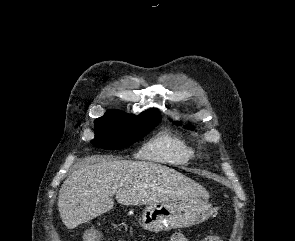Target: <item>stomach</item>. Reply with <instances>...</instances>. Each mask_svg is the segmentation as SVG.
<instances>
[{"label":"stomach","mask_w":295,"mask_h":241,"mask_svg":"<svg viewBox=\"0 0 295 241\" xmlns=\"http://www.w3.org/2000/svg\"><path fill=\"white\" fill-rule=\"evenodd\" d=\"M208 198L196 197L183 202L150 204L142 212L143 227L152 232L187 228L212 216Z\"/></svg>","instance_id":"obj_1"}]
</instances>
